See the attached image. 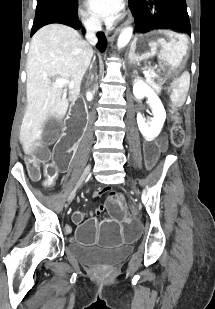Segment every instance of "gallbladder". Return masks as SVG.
<instances>
[{"label":"gallbladder","mask_w":215,"mask_h":309,"mask_svg":"<svg viewBox=\"0 0 215 309\" xmlns=\"http://www.w3.org/2000/svg\"><path fill=\"white\" fill-rule=\"evenodd\" d=\"M49 132H52L53 136L59 135V123H49L47 126L46 134H49ZM41 138H46V146H49V144H55L56 139L55 137H47V135H41Z\"/></svg>","instance_id":"gallbladder-1"}]
</instances>
